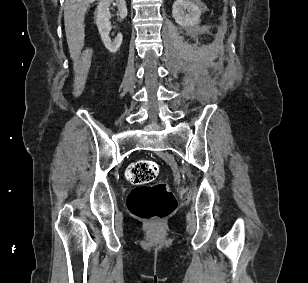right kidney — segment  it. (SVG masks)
Listing matches in <instances>:
<instances>
[{"label":"right kidney","mask_w":308,"mask_h":283,"mask_svg":"<svg viewBox=\"0 0 308 283\" xmlns=\"http://www.w3.org/2000/svg\"><path fill=\"white\" fill-rule=\"evenodd\" d=\"M112 3L118 8L119 20L121 21L126 18L127 7L125 0H100L96 10V24L106 49L111 53H116L121 46L123 37L121 33H119L113 41H111L109 37L111 31V24L109 21L111 14L109 12V7Z\"/></svg>","instance_id":"1"}]
</instances>
